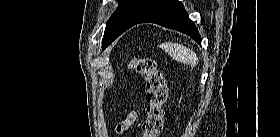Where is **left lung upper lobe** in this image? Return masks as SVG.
I'll return each mask as SVG.
<instances>
[{
  "label": "left lung upper lobe",
  "mask_w": 280,
  "mask_h": 137,
  "mask_svg": "<svg viewBox=\"0 0 280 137\" xmlns=\"http://www.w3.org/2000/svg\"><path fill=\"white\" fill-rule=\"evenodd\" d=\"M120 4L107 21L102 47H108L123 32L137 23L161 0H119Z\"/></svg>",
  "instance_id": "1"
}]
</instances>
